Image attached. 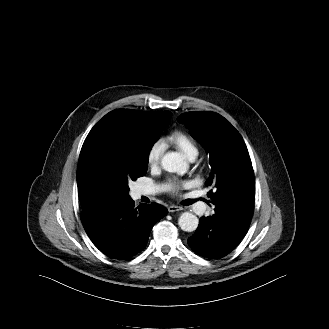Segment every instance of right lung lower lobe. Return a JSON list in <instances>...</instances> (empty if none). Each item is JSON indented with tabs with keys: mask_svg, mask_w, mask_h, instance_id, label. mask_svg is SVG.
<instances>
[{
	"mask_svg": "<svg viewBox=\"0 0 329 329\" xmlns=\"http://www.w3.org/2000/svg\"><path fill=\"white\" fill-rule=\"evenodd\" d=\"M81 220L94 245L110 258L126 259L142 251L153 225L167 215L157 203L134 208L129 197L106 199L82 208Z\"/></svg>",
	"mask_w": 329,
	"mask_h": 329,
	"instance_id": "1",
	"label": "right lung lower lobe"
}]
</instances>
